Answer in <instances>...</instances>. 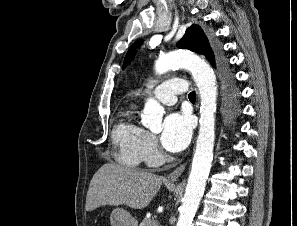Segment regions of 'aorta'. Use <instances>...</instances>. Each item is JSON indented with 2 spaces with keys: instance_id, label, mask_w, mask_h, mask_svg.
I'll use <instances>...</instances> for the list:
<instances>
[{
  "instance_id": "1",
  "label": "aorta",
  "mask_w": 297,
  "mask_h": 226,
  "mask_svg": "<svg viewBox=\"0 0 297 226\" xmlns=\"http://www.w3.org/2000/svg\"><path fill=\"white\" fill-rule=\"evenodd\" d=\"M173 68H185L192 73L201 99L199 134L176 225L191 226L204 194L206 180L213 160L217 97L216 76L213 69L204 60L193 53L185 51L169 52L160 56L155 63V71L159 75ZM162 116V106L156 100L148 99L141 116L142 123L151 131H161Z\"/></svg>"
}]
</instances>
